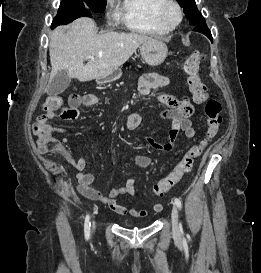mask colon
I'll return each mask as SVG.
<instances>
[{"label": "colon", "instance_id": "1", "mask_svg": "<svg viewBox=\"0 0 261 273\" xmlns=\"http://www.w3.org/2000/svg\"><path fill=\"white\" fill-rule=\"evenodd\" d=\"M202 59V53L198 50L194 51L184 60L183 71L194 100L200 104L205 103V113L207 117L206 137L198 144L193 145L173 170L153 186L152 192L154 195H164L179 182L184 175L191 172L194 160L202 154L207 142L216 136L220 128L222 122L220 115L221 105L216 99H207V89L199 73ZM79 105L80 97L77 95H72L69 98V106L67 107L63 105V100L60 96H51L45 101L42 108L44 114L40 116L33 125V134L42 152H57L61 150L62 146L47 128L46 116L51 111H59L61 112L62 119L73 120L78 116Z\"/></svg>", "mask_w": 261, "mask_h": 273}]
</instances>
